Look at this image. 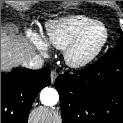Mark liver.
<instances>
[{"label":"liver","instance_id":"liver-1","mask_svg":"<svg viewBox=\"0 0 123 123\" xmlns=\"http://www.w3.org/2000/svg\"><path fill=\"white\" fill-rule=\"evenodd\" d=\"M34 55V48L24 37L1 30V70L22 64Z\"/></svg>","mask_w":123,"mask_h":123}]
</instances>
